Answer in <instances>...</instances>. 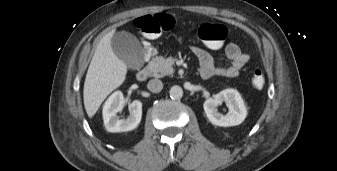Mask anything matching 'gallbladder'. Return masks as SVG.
Wrapping results in <instances>:
<instances>
[{
    "label": "gallbladder",
    "instance_id": "1",
    "mask_svg": "<svg viewBox=\"0 0 337 171\" xmlns=\"http://www.w3.org/2000/svg\"><path fill=\"white\" fill-rule=\"evenodd\" d=\"M111 46L116 56L128 67L139 69L144 62V50L137 38L128 32L113 35Z\"/></svg>",
    "mask_w": 337,
    "mask_h": 171
}]
</instances>
